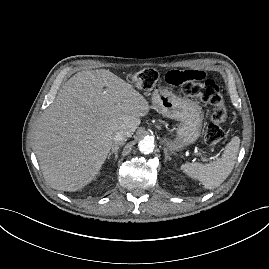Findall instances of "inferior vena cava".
Returning <instances> with one entry per match:
<instances>
[{
    "instance_id": "602c4592",
    "label": "inferior vena cava",
    "mask_w": 269,
    "mask_h": 269,
    "mask_svg": "<svg viewBox=\"0 0 269 269\" xmlns=\"http://www.w3.org/2000/svg\"><path fill=\"white\" fill-rule=\"evenodd\" d=\"M129 137V133L124 130H119L115 133L113 140L116 143H124Z\"/></svg>"
}]
</instances>
